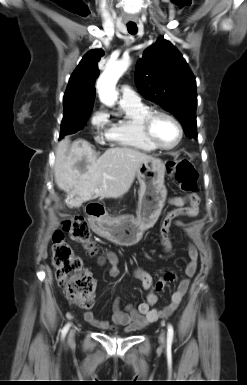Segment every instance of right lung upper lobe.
<instances>
[{
    "instance_id": "obj_1",
    "label": "right lung upper lobe",
    "mask_w": 247,
    "mask_h": 385,
    "mask_svg": "<svg viewBox=\"0 0 247 385\" xmlns=\"http://www.w3.org/2000/svg\"><path fill=\"white\" fill-rule=\"evenodd\" d=\"M104 55L101 49L84 55L71 75L64 94L63 105L92 106L95 99L94 83L99 75L98 61Z\"/></svg>"
}]
</instances>
